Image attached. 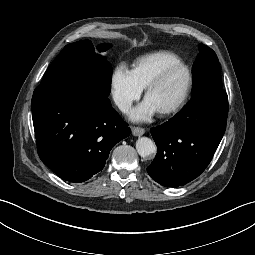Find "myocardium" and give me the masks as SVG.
Instances as JSON below:
<instances>
[{"label": "myocardium", "instance_id": "obj_1", "mask_svg": "<svg viewBox=\"0 0 255 255\" xmlns=\"http://www.w3.org/2000/svg\"><path fill=\"white\" fill-rule=\"evenodd\" d=\"M184 69L187 73V87L186 90L183 94V96L174 104L158 110L157 112L161 115H169L172 113H175L177 111H179L188 101L192 88H193V74L191 69L183 62L178 61L172 64L167 65L165 68H163L149 83L148 85L145 87V91H144V98L146 100L147 95L154 89L156 88L158 85H160L163 80L166 78V76L172 72L174 69Z\"/></svg>", "mask_w": 255, "mask_h": 255}]
</instances>
